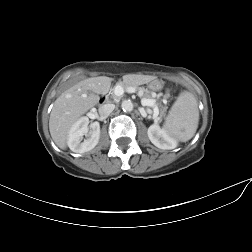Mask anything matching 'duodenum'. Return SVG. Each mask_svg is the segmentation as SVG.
Listing matches in <instances>:
<instances>
[{"instance_id": "duodenum-1", "label": "duodenum", "mask_w": 252, "mask_h": 252, "mask_svg": "<svg viewBox=\"0 0 252 252\" xmlns=\"http://www.w3.org/2000/svg\"><path fill=\"white\" fill-rule=\"evenodd\" d=\"M106 100H107V97H106L105 95H102V96L100 97L99 102H100L101 104H103V103L106 102Z\"/></svg>"}]
</instances>
